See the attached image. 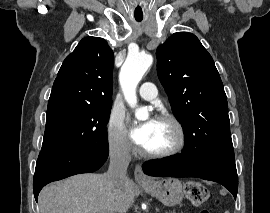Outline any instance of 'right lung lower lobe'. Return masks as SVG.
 Listing matches in <instances>:
<instances>
[{"mask_svg":"<svg viewBox=\"0 0 270 213\" xmlns=\"http://www.w3.org/2000/svg\"><path fill=\"white\" fill-rule=\"evenodd\" d=\"M108 153V142L80 149L41 150L33 181L36 201L40 190L46 184L72 175L98 170L107 160Z\"/></svg>","mask_w":270,"mask_h":213,"instance_id":"1","label":"right lung lower lobe"}]
</instances>
